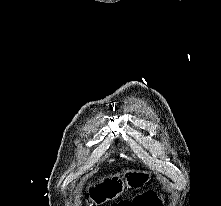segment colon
I'll return each mask as SVG.
<instances>
[{
  "instance_id": "colon-1",
  "label": "colon",
  "mask_w": 221,
  "mask_h": 206,
  "mask_svg": "<svg viewBox=\"0 0 221 206\" xmlns=\"http://www.w3.org/2000/svg\"><path fill=\"white\" fill-rule=\"evenodd\" d=\"M159 196L155 191H147L132 200H123L112 206H158Z\"/></svg>"
}]
</instances>
